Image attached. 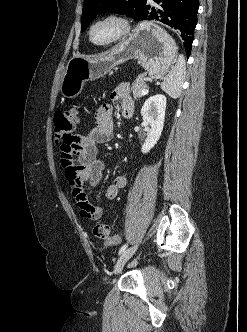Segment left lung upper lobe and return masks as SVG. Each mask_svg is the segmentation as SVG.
<instances>
[{
    "mask_svg": "<svg viewBox=\"0 0 247 332\" xmlns=\"http://www.w3.org/2000/svg\"><path fill=\"white\" fill-rule=\"evenodd\" d=\"M147 0H84L81 31H85L90 22L101 12H117L127 14L140 20L141 12Z\"/></svg>",
    "mask_w": 247,
    "mask_h": 332,
    "instance_id": "1",
    "label": "left lung upper lobe"
}]
</instances>
